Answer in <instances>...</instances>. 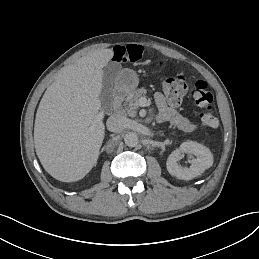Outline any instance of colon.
Returning a JSON list of instances; mask_svg holds the SVG:
<instances>
[{"label": "colon", "instance_id": "obj_1", "mask_svg": "<svg viewBox=\"0 0 259 259\" xmlns=\"http://www.w3.org/2000/svg\"><path fill=\"white\" fill-rule=\"evenodd\" d=\"M161 86L173 105L180 104L183 97L190 93L196 104L201 108L200 114L196 117L199 124L205 127H216L218 125V119L214 115L213 96L205 81L198 80L190 86L183 76H177L165 79Z\"/></svg>", "mask_w": 259, "mask_h": 259}]
</instances>
